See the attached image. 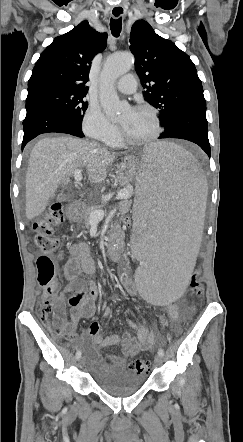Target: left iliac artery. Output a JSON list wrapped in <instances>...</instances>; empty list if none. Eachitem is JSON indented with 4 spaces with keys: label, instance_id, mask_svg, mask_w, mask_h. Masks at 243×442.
I'll return each instance as SVG.
<instances>
[{
    "label": "left iliac artery",
    "instance_id": "44dca946",
    "mask_svg": "<svg viewBox=\"0 0 243 442\" xmlns=\"http://www.w3.org/2000/svg\"><path fill=\"white\" fill-rule=\"evenodd\" d=\"M162 323L164 325V319H162ZM158 354L163 357L164 356V350L162 348H159Z\"/></svg>",
    "mask_w": 243,
    "mask_h": 442
}]
</instances>
